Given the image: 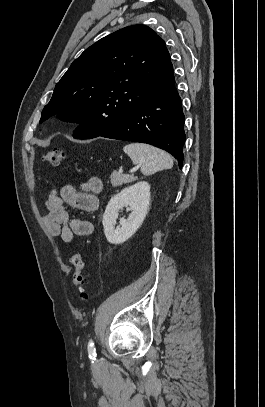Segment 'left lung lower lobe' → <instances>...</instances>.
<instances>
[{
    "label": "left lung lower lobe",
    "instance_id": "left-lung-lower-lobe-1",
    "mask_svg": "<svg viewBox=\"0 0 265 407\" xmlns=\"http://www.w3.org/2000/svg\"><path fill=\"white\" fill-rule=\"evenodd\" d=\"M184 114L175 79L101 137L142 142L171 153L183 165Z\"/></svg>",
    "mask_w": 265,
    "mask_h": 407
}]
</instances>
